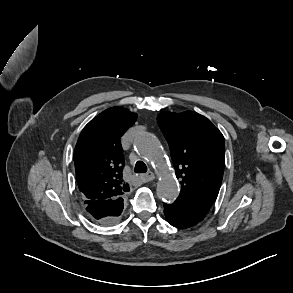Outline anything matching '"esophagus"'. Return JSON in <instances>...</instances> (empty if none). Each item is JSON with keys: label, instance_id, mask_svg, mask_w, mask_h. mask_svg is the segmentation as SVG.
Returning <instances> with one entry per match:
<instances>
[{"label": "esophagus", "instance_id": "34e87169", "mask_svg": "<svg viewBox=\"0 0 293 293\" xmlns=\"http://www.w3.org/2000/svg\"><path fill=\"white\" fill-rule=\"evenodd\" d=\"M140 178H141L143 183H147V182H150V181L154 180L155 176H154V174L152 172H148V173L142 175Z\"/></svg>", "mask_w": 293, "mask_h": 293}]
</instances>
